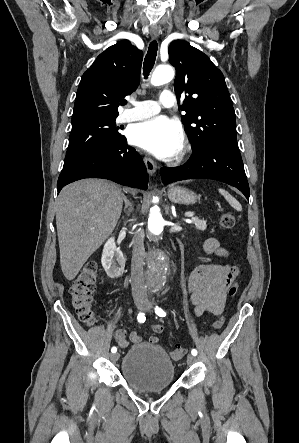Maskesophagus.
I'll return each instance as SVG.
<instances>
[{
  "mask_svg": "<svg viewBox=\"0 0 299 443\" xmlns=\"http://www.w3.org/2000/svg\"><path fill=\"white\" fill-rule=\"evenodd\" d=\"M150 33L153 38H156L158 36V28L152 27L150 29ZM144 163H145L148 173L150 175H153L157 169L156 163L151 158H149L147 156L144 157Z\"/></svg>",
  "mask_w": 299,
  "mask_h": 443,
  "instance_id": "esophagus-1",
  "label": "esophagus"
}]
</instances>
